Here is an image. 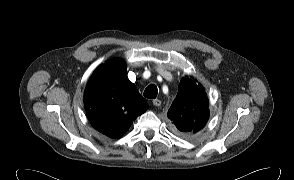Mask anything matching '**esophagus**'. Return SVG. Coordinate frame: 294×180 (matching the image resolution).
Returning a JSON list of instances; mask_svg holds the SVG:
<instances>
[{
    "instance_id": "esophagus-1",
    "label": "esophagus",
    "mask_w": 294,
    "mask_h": 180,
    "mask_svg": "<svg viewBox=\"0 0 294 180\" xmlns=\"http://www.w3.org/2000/svg\"><path fill=\"white\" fill-rule=\"evenodd\" d=\"M152 103H153V105L156 106V107H158V106L161 105V101H160L159 99H154V100L152 101Z\"/></svg>"
}]
</instances>
